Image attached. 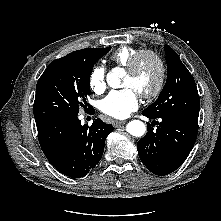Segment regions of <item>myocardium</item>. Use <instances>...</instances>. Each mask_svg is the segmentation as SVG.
I'll use <instances>...</instances> for the list:
<instances>
[{"mask_svg":"<svg viewBox=\"0 0 221 221\" xmlns=\"http://www.w3.org/2000/svg\"><path fill=\"white\" fill-rule=\"evenodd\" d=\"M143 57H151L155 61L159 69V78L154 89L149 92L140 94V96L144 99H153L157 97L164 88L166 81V67L163 59L158 53L152 50L145 49L137 52L131 59L129 65L126 67V70L129 74H134L136 72Z\"/></svg>","mask_w":221,"mask_h":221,"instance_id":"obj_1","label":"myocardium"}]
</instances>
